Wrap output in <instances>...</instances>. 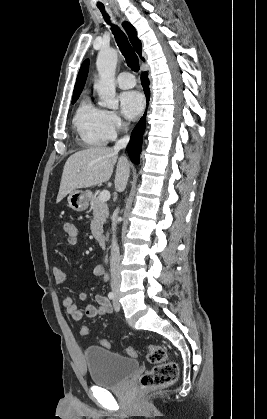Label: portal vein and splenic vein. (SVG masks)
Listing matches in <instances>:
<instances>
[{
  "instance_id": "1",
  "label": "portal vein and splenic vein",
  "mask_w": 267,
  "mask_h": 419,
  "mask_svg": "<svg viewBox=\"0 0 267 419\" xmlns=\"http://www.w3.org/2000/svg\"><path fill=\"white\" fill-rule=\"evenodd\" d=\"M99 200L106 202L110 199V192L108 190H103L99 194Z\"/></svg>"
}]
</instances>
